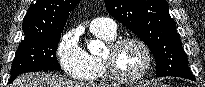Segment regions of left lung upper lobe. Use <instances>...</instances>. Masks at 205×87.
Segmentation results:
<instances>
[{
	"mask_svg": "<svg viewBox=\"0 0 205 87\" xmlns=\"http://www.w3.org/2000/svg\"><path fill=\"white\" fill-rule=\"evenodd\" d=\"M104 1L109 14L147 44L155 57L158 77L192 75L166 0Z\"/></svg>",
	"mask_w": 205,
	"mask_h": 87,
	"instance_id": "1",
	"label": "left lung upper lobe"
}]
</instances>
